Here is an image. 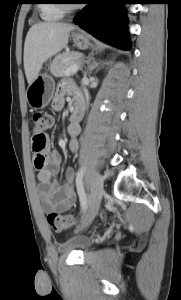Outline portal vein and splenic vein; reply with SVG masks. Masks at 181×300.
Listing matches in <instances>:
<instances>
[{"label": "portal vein and splenic vein", "instance_id": "18ae733b", "mask_svg": "<svg viewBox=\"0 0 181 300\" xmlns=\"http://www.w3.org/2000/svg\"><path fill=\"white\" fill-rule=\"evenodd\" d=\"M80 66L78 64H73L71 65L67 70H66V76H70L75 74L79 70Z\"/></svg>", "mask_w": 181, "mask_h": 300}]
</instances>
